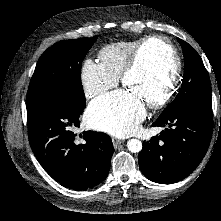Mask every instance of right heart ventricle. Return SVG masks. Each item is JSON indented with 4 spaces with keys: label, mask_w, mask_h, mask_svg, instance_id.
Instances as JSON below:
<instances>
[{
    "label": "right heart ventricle",
    "mask_w": 221,
    "mask_h": 221,
    "mask_svg": "<svg viewBox=\"0 0 221 221\" xmlns=\"http://www.w3.org/2000/svg\"><path fill=\"white\" fill-rule=\"evenodd\" d=\"M142 38L115 42L105 46L98 56L101 69L107 75L119 78L128 62L130 53Z\"/></svg>",
    "instance_id": "obj_1"
}]
</instances>
